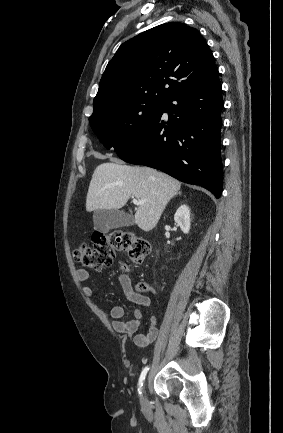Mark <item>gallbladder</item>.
<instances>
[{
  "label": "gallbladder",
  "mask_w": 283,
  "mask_h": 433,
  "mask_svg": "<svg viewBox=\"0 0 283 433\" xmlns=\"http://www.w3.org/2000/svg\"><path fill=\"white\" fill-rule=\"evenodd\" d=\"M93 223L95 231L109 233L110 229L131 227L134 225V219L131 214H126L117 208H97L93 212Z\"/></svg>",
  "instance_id": "obj_1"
}]
</instances>
